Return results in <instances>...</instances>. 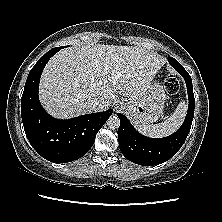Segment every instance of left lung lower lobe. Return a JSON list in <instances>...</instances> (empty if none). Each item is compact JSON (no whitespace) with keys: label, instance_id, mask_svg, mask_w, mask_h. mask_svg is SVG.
Masks as SVG:
<instances>
[{"label":"left lung lower lobe","instance_id":"1","mask_svg":"<svg viewBox=\"0 0 222 222\" xmlns=\"http://www.w3.org/2000/svg\"><path fill=\"white\" fill-rule=\"evenodd\" d=\"M168 61L184 77L187 86L189 105L182 126L168 137L154 139L141 135L125 115L117 114L120 118L118 129L120 150L129 161L139 165L151 166L169 160L182 147L190 132L195 106L192 80L189 73L176 59L168 57Z\"/></svg>","mask_w":222,"mask_h":222}]
</instances>
